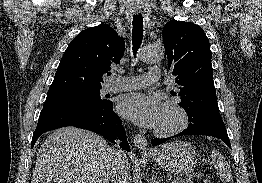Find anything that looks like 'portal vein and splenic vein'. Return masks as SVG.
I'll return each mask as SVG.
<instances>
[{"instance_id": "1", "label": "portal vein and splenic vein", "mask_w": 262, "mask_h": 183, "mask_svg": "<svg viewBox=\"0 0 262 183\" xmlns=\"http://www.w3.org/2000/svg\"><path fill=\"white\" fill-rule=\"evenodd\" d=\"M172 183H177V181H176V180H174Z\"/></svg>"}]
</instances>
